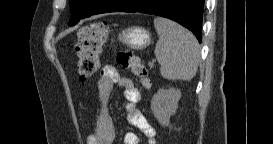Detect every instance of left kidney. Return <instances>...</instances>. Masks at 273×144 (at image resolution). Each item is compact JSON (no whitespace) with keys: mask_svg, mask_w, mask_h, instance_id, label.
<instances>
[{"mask_svg":"<svg viewBox=\"0 0 273 144\" xmlns=\"http://www.w3.org/2000/svg\"><path fill=\"white\" fill-rule=\"evenodd\" d=\"M180 98L181 91L175 88L159 89L152 97L151 109L161 125H169L170 117L176 113Z\"/></svg>","mask_w":273,"mask_h":144,"instance_id":"1","label":"left kidney"}]
</instances>
